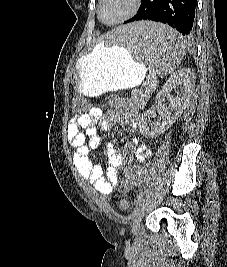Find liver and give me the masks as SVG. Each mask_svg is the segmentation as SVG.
I'll list each match as a JSON object with an SVG mask.
<instances>
[{"label":"liver","mask_w":227,"mask_h":267,"mask_svg":"<svg viewBox=\"0 0 227 267\" xmlns=\"http://www.w3.org/2000/svg\"><path fill=\"white\" fill-rule=\"evenodd\" d=\"M111 33H117V30L114 29ZM109 36H110V34H109ZM97 47H98V45H97ZM98 48H101V47H98Z\"/></svg>","instance_id":"liver-1"}]
</instances>
